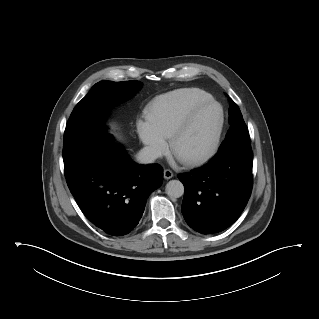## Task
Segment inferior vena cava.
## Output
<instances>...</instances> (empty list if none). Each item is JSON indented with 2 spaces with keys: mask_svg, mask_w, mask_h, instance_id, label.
Listing matches in <instances>:
<instances>
[{
  "mask_svg": "<svg viewBox=\"0 0 319 319\" xmlns=\"http://www.w3.org/2000/svg\"><path fill=\"white\" fill-rule=\"evenodd\" d=\"M161 156V152L154 147L146 146L137 154V161L141 164L153 163Z\"/></svg>",
  "mask_w": 319,
  "mask_h": 319,
  "instance_id": "1",
  "label": "inferior vena cava"
}]
</instances>
